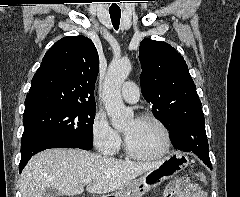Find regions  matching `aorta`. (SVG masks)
I'll use <instances>...</instances> for the list:
<instances>
[{
  "label": "aorta",
  "mask_w": 240,
  "mask_h": 197,
  "mask_svg": "<svg viewBox=\"0 0 240 197\" xmlns=\"http://www.w3.org/2000/svg\"><path fill=\"white\" fill-rule=\"evenodd\" d=\"M131 63L128 59L113 60L107 70L103 85V102L112 126L121 130L133 119L132 109L125 107L121 86L128 77Z\"/></svg>",
  "instance_id": "762f6f07"
}]
</instances>
